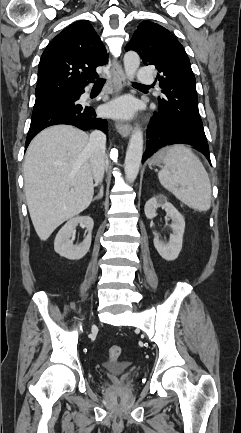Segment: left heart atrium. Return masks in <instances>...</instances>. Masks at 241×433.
Returning a JSON list of instances; mask_svg holds the SVG:
<instances>
[{
    "label": "left heart atrium",
    "mask_w": 241,
    "mask_h": 433,
    "mask_svg": "<svg viewBox=\"0 0 241 433\" xmlns=\"http://www.w3.org/2000/svg\"><path fill=\"white\" fill-rule=\"evenodd\" d=\"M134 111V104L129 98H120L108 105L109 114L117 117H128Z\"/></svg>",
    "instance_id": "39dd6f15"
}]
</instances>
